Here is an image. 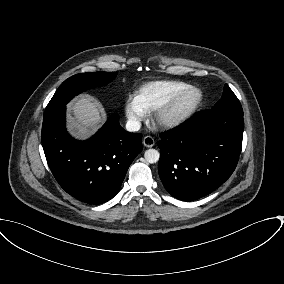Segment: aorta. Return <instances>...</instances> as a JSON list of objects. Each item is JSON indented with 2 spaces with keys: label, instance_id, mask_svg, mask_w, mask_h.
Returning <instances> with one entry per match:
<instances>
[{
  "label": "aorta",
  "instance_id": "obj_1",
  "mask_svg": "<svg viewBox=\"0 0 284 284\" xmlns=\"http://www.w3.org/2000/svg\"><path fill=\"white\" fill-rule=\"evenodd\" d=\"M144 158L148 163H156L159 161L160 153L156 149H148L144 153Z\"/></svg>",
  "mask_w": 284,
  "mask_h": 284
}]
</instances>
